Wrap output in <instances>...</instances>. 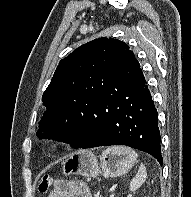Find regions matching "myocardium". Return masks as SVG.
<instances>
[{
    "mask_svg": "<svg viewBox=\"0 0 191 197\" xmlns=\"http://www.w3.org/2000/svg\"><path fill=\"white\" fill-rule=\"evenodd\" d=\"M63 146L64 143L62 140L57 138L49 139L44 144V153L49 157H53L60 152Z\"/></svg>",
    "mask_w": 191,
    "mask_h": 197,
    "instance_id": "f54148a6",
    "label": "myocardium"
}]
</instances>
